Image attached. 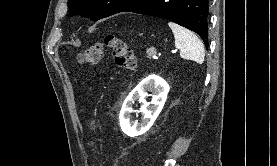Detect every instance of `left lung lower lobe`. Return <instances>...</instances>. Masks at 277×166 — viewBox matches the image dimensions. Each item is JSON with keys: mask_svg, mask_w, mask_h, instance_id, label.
Wrapping results in <instances>:
<instances>
[{"mask_svg": "<svg viewBox=\"0 0 277 166\" xmlns=\"http://www.w3.org/2000/svg\"><path fill=\"white\" fill-rule=\"evenodd\" d=\"M121 12H133L175 22L196 32L208 47V0H137Z\"/></svg>", "mask_w": 277, "mask_h": 166, "instance_id": "0a47b994", "label": "left lung lower lobe"}]
</instances>
